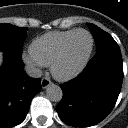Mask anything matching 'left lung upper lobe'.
Here are the masks:
<instances>
[{"instance_id":"1","label":"left lung upper lobe","mask_w":128,"mask_h":128,"mask_svg":"<svg viewBox=\"0 0 128 128\" xmlns=\"http://www.w3.org/2000/svg\"><path fill=\"white\" fill-rule=\"evenodd\" d=\"M90 30L94 36V40L97 46V52L108 49V48H117L119 47L116 41L112 38L110 34L100 29L94 24L89 25Z\"/></svg>"}]
</instances>
